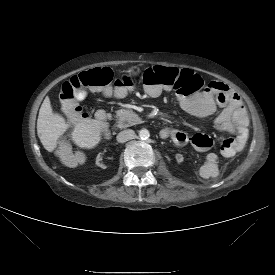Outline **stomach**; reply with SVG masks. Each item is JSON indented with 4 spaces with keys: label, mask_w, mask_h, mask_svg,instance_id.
<instances>
[{
    "label": "stomach",
    "mask_w": 275,
    "mask_h": 275,
    "mask_svg": "<svg viewBox=\"0 0 275 275\" xmlns=\"http://www.w3.org/2000/svg\"><path fill=\"white\" fill-rule=\"evenodd\" d=\"M137 70H138V69H137ZM138 71H139V70H138ZM128 72H129V73L135 72V69H130Z\"/></svg>",
    "instance_id": "0dacf381"
}]
</instances>
